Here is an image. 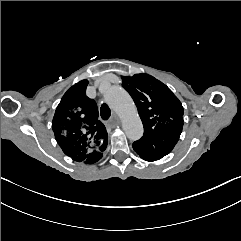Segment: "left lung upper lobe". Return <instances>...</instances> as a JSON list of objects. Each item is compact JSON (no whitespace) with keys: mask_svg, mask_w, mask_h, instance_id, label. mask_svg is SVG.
I'll return each instance as SVG.
<instances>
[{"mask_svg":"<svg viewBox=\"0 0 241 241\" xmlns=\"http://www.w3.org/2000/svg\"><path fill=\"white\" fill-rule=\"evenodd\" d=\"M122 82L144 126L141 141L155 143L164 133L182 131V104L165 84L148 74L122 77Z\"/></svg>","mask_w":241,"mask_h":241,"instance_id":"left-lung-upper-lobe-1","label":"left lung upper lobe"}]
</instances>
